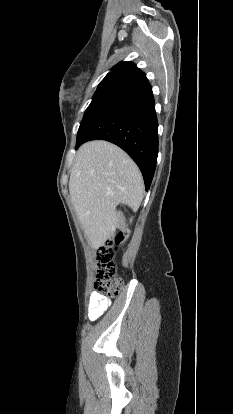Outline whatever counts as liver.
Returning <instances> with one entry per match:
<instances>
[{"mask_svg":"<svg viewBox=\"0 0 233 414\" xmlns=\"http://www.w3.org/2000/svg\"><path fill=\"white\" fill-rule=\"evenodd\" d=\"M69 192L85 235L95 247L114 237L123 220L118 204L136 211L144 193L141 172L119 147L107 141L84 143L71 170Z\"/></svg>","mask_w":233,"mask_h":414,"instance_id":"6515ba94","label":"liver"}]
</instances>
